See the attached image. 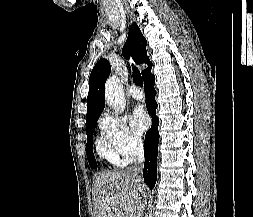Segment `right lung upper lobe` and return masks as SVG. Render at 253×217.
Wrapping results in <instances>:
<instances>
[{
	"instance_id": "right-lung-upper-lobe-1",
	"label": "right lung upper lobe",
	"mask_w": 253,
	"mask_h": 217,
	"mask_svg": "<svg viewBox=\"0 0 253 217\" xmlns=\"http://www.w3.org/2000/svg\"><path fill=\"white\" fill-rule=\"evenodd\" d=\"M146 44V39L143 37L138 25L134 23L129 29L128 38L122 52L127 59L130 54L137 64L146 63L148 65V68L142 71L143 77L151 73L152 67V63L147 56ZM110 72L111 66L109 62L106 59H101L90 74L87 97V122L99 118L105 107L104 87Z\"/></svg>"
}]
</instances>
